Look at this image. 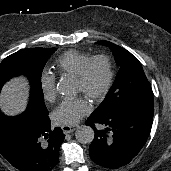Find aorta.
I'll return each instance as SVG.
<instances>
[{
    "label": "aorta",
    "mask_w": 171,
    "mask_h": 171,
    "mask_svg": "<svg viewBox=\"0 0 171 171\" xmlns=\"http://www.w3.org/2000/svg\"><path fill=\"white\" fill-rule=\"evenodd\" d=\"M56 89L62 96L70 97L76 94L74 85L67 79H61ZM94 135V130L90 126H80L75 132L76 140L82 144L91 143L94 139Z\"/></svg>",
    "instance_id": "762f6f07"
}]
</instances>
